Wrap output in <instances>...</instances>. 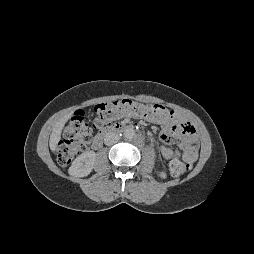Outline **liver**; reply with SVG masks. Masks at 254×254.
Masks as SVG:
<instances>
[{
	"label": "liver",
	"instance_id": "liver-1",
	"mask_svg": "<svg viewBox=\"0 0 254 254\" xmlns=\"http://www.w3.org/2000/svg\"><path fill=\"white\" fill-rule=\"evenodd\" d=\"M70 115H71V113L62 117L58 122H56V124L52 130V133L50 135V140H49V146L53 152H55L57 149L58 142L61 139L62 129H63L65 123L68 121Z\"/></svg>",
	"mask_w": 254,
	"mask_h": 254
}]
</instances>
